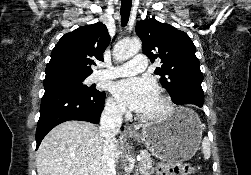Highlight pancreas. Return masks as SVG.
Wrapping results in <instances>:
<instances>
[{
  "label": "pancreas",
  "mask_w": 251,
  "mask_h": 175,
  "mask_svg": "<svg viewBox=\"0 0 251 175\" xmlns=\"http://www.w3.org/2000/svg\"><path fill=\"white\" fill-rule=\"evenodd\" d=\"M140 155L141 159L139 161V167L143 175H151L154 171V167L152 165L153 159L150 153H148L147 149H141Z\"/></svg>",
  "instance_id": "obj_1"
}]
</instances>
